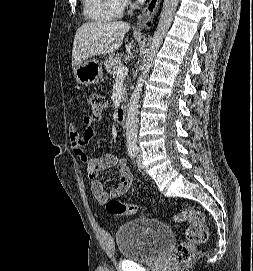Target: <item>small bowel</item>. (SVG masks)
Listing matches in <instances>:
<instances>
[{
  "label": "small bowel",
  "instance_id": "1",
  "mask_svg": "<svg viewBox=\"0 0 253 271\" xmlns=\"http://www.w3.org/2000/svg\"><path fill=\"white\" fill-rule=\"evenodd\" d=\"M100 119V114L93 113L85 116L83 118V130L79 131L77 127L71 125L68 128V136L73 154L85 163L92 194L100 204H104L128 191L132 183V175L123 158L112 153L90 157L84 151V145L96 135L95 124ZM111 168H118L119 182L115 188L107 192L103 188L102 179L98 176V173Z\"/></svg>",
  "mask_w": 253,
  "mask_h": 271
}]
</instances>
